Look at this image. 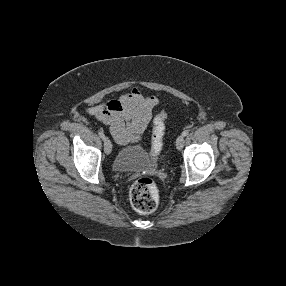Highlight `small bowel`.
I'll return each mask as SVG.
<instances>
[{"mask_svg": "<svg viewBox=\"0 0 286 286\" xmlns=\"http://www.w3.org/2000/svg\"><path fill=\"white\" fill-rule=\"evenodd\" d=\"M158 102L156 96L132 88L116 99L91 107L89 113L109 127L118 144L127 145L140 139Z\"/></svg>", "mask_w": 286, "mask_h": 286, "instance_id": "small-bowel-1", "label": "small bowel"}]
</instances>
